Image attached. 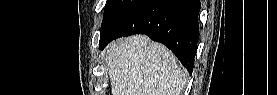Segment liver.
Segmentation results:
<instances>
[{"instance_id": "obj_1", "label": "liver", "mask_w": 277, "mask_h": 95, "mask_svg": "<svg viewBox=\"0 0 277 95\" xmlns=\"http://www.w3.org/2000/svg\"><path fill=\"white\" fill-rule=\"evenodd\" d=\"M105 56L112 95H182L186 70L170 50L146 35L111 42Z\"/></svg>"}]
</instances>
